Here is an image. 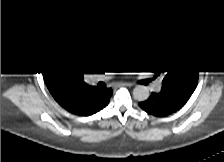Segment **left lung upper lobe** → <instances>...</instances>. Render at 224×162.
Segmentation results:
<instances>
[{
	"label": "left lung upper lobe",
	"instance_id": "obj_1",
	"mask_svg": "<svg viewBox=\"0 0 224 162\" xmlns=\"http://www.w3.org/2000/svg\"><path fill=\"white\" fill-rule=\"evenodd\" d=\"M155 72L164 74L163 90L191 95L197 86L199 68L175 53L169 54L165 61L156 67Z\"/></svg>",
	"mask_w": 224,
	"mask_h": 162
}]
</instances>
